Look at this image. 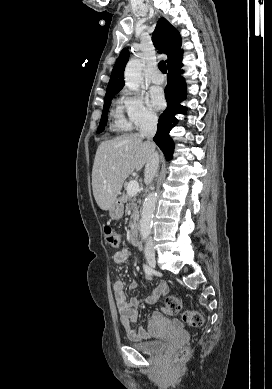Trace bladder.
<instances>
[{"instance_id":"bladder-1","label":"bladder","mask_w":272,"mask_h":389,"mask_svg":"<svg viewBox=\"0 0 272 389\" xmlns=\"http://www.w3.org/2000/svg\"><path fill=\"white\" fill-rule=\"evenodd\" d=\"M129 344L138 351H141L146 354H158L163 352L166 349L167 342L166 340H154V341H134L130 340Z\"/></svg>"}]
</instances>
